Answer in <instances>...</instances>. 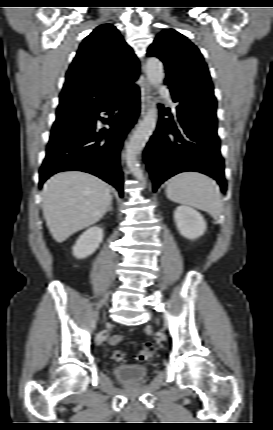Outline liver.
<instances>
[{
  "label": "liver",
  "instance_id": "obj_1",
  "mask_svg": "<svg viewBox=\"0 0 273 430\" xmlns=\"http://www.w3.org/2000/svg\"><path fill=\"white\" fill-rule=\"evenodd\" d=\"M42 194L46 224L59 243L98 222L112 202L108 184L83 171L55 174Z\"/></svg>",
  "mask_w": 273,
  "mask_h": 430
}]
</instances>
